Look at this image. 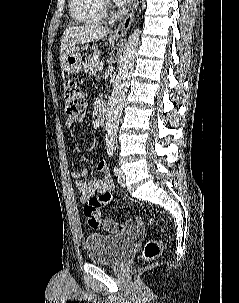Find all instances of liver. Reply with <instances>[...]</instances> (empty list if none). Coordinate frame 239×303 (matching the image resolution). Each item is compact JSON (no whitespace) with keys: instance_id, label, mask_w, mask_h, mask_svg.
Masks as SVG:
<instances>
[{"instance_id":"liver-1","label":"liver","mask_w":239,"mask_h":303,"mask_svg":"<svg viewBox=\"0 0 239 303\" xmlns=\"http://www.w3.org/2000/svg\"><path fill=\"white\" fill-rule=\"evenodd\" d=\"M110 33V29L103 25H83L67 28L61 39L60 55L76 44L99 41Z\"/></svg>"}]
</instances>
